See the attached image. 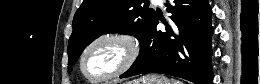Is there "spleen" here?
Segmentation results:
<instances>
[{
  "mask_svg": "<svg viewBox=\"0 0 260 84\" xmlns=\"http://www.w3.org/2000/svg\"><path fill=\"white\" fill-rule=\"evenodd\" d=\"M172 83H173V84H182V82H181V81H178V80H172Z\"/></svg>",
  "mask_w": 260,
  "mask_h": 84,
  "instance_id": "3e777b00",
  "label": "spleen"
}]
</instances>
